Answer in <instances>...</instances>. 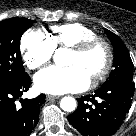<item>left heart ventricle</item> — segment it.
<instances>
[{"instance_id": "1", "label": "left heart ventricle", "mask_w": 136, "mask_h": 136, "mask_svg": "<svg viewBox=\"0 0 136 136\" xmlns=\"http://www.w3.org/2000/svg\"><path fill=\"white\" fill-rule=\"evenodd\" d=\"M106 50L103 45H96L83 54L69 52L67 65H76L91 79L105 64Z\"/></svg>"}]
</instances>
